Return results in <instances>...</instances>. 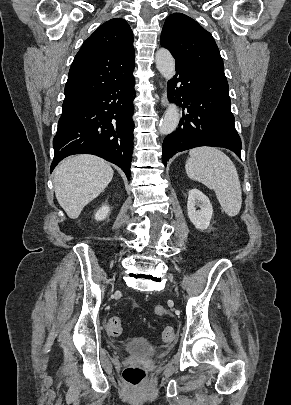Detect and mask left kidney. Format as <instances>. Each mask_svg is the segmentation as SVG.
<instances>
[{
	"label": "left kidney",
	"instance_id": "obj_1",
	"mask_svg": "<svg viewBox=\"0 0 291 405\" xmlns=\"http://www.w3.org/2000/svg\"><path fill=\"white\" fill-rule=\"evenodd\" d=\"M196 207H199L200 210H196ZM187 213L190 221L197 229H207L213 214L209 198L200 190L191 189L188 194Z\"/></svg>",
	"mask_w": 291,
	"mask_h": 405
}]
</instances>
